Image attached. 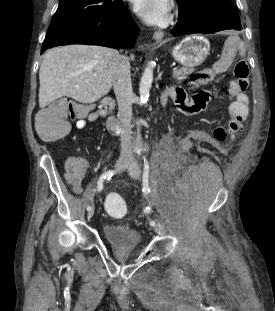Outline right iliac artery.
I'll list each match as a JSON object with an SVG mask.
<instances>
[{"instance_id": "1", "label": "right iliac artery", "mask_w": 275, "mask_h": 311, "mask_svg": "<svg viewBox=\"0 0 275 311\" xmlns=\"http://www.w3.org/2000/svg\"><path fill=\"white\" fill-rule=\"evenodd\" d=\"M115 171L114 170H108L106 171L105 173H103L99 179H98V182H97V190L98 191H101L103 189V186H104V180L107 179V180H110V178L114 175ZM87 210L90 211L91 210V206H88L87 207Z\"/></svg>"}]
</instances>
